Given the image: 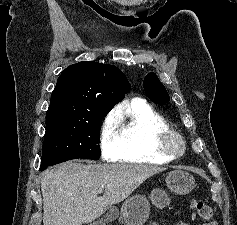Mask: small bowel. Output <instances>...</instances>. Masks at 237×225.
Instances as JSON below:
<instances>
[{"label": "small bowel", "instance_id": "1", "mask_svg": "<svg viewBox=\"0 0 237 225\" xmlns=\"http://www.w3.org/2000/svg\"><path fill=\"white\" fill-rule=\"evenodd\" d=\"M177 225H190V224L185 221H180Z\"/></svg>", "mask_w": 237, "mask_h": 225}]
</instances>
